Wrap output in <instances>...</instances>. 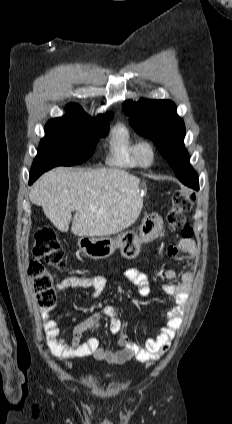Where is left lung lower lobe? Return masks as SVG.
I'll list each match as a JSON object with an SVG mask.
<instances>
[{
    "label": "left lung lower lobe",
    "instance_id": "1",
    "mask_svg": "<svg viewBox=\"0 0 232 424\" xmlns=\"http://www.w3.org/2000/svg\"><path fill=\"white\" fill-rule=\"evenodd\" d=\"M181 182L193 189L198 190L199 189V182L196 174L190 175L186 177L185 179H182Z\"/></svg>",
    "mask_w": 232,
    "mask_h": 424
}]
</instances>
